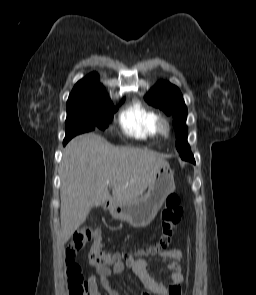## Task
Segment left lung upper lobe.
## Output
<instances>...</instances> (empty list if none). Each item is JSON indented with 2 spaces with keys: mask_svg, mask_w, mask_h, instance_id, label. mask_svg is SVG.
Listing matches in <instances>:
<instances>
[{
  "mask_svg": "<svg viewBox=\"0 0 256 295\" xmlns=\"http://www.w3.org/2000/svg\"><path fill=\"white\" fill-rule=\"evenodd\" d=\"M145 100L167 115L173 116V126L176 131V148L180 157L187 160L186 155L191 152L187 143V107L178 87L169 82H159L145 96Z\"/></svg>",
  "mask_w": 256,
  "mask_h": 295,
  "instance_id": "1",
  "label": "left lung upper lobe"
}]
</instances>
